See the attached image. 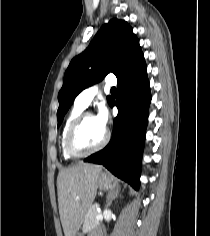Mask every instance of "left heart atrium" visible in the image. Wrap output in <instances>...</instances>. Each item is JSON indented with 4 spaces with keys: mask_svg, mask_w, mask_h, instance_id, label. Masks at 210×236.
Masks as SVG:
<instances>
[{
    "mask_svg": "<svg viewBox=\"0 0 210 236\" xmlns=\"http://www.w3.org/2000/svg\"><path fill=\"white\" fill-rule=\"evenodd\" d=\"M94 119L102 129L106 130L109 122V114L107 108L105 106H101Z\"/></svg>",
    "mask_w": 210,
    "mask_h": 236,
    "instance_id": "1",
    "label": "left heart atrium"
}]
</instances>
